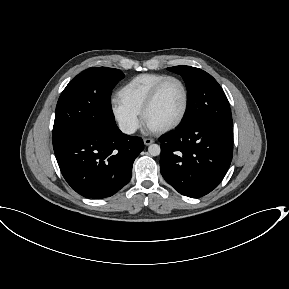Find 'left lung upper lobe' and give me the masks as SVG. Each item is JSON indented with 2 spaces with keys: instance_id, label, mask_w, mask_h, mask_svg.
I'll use <instances>...</instances> for the list:
<instances>
[{
  "instance_id": "left-lung-upper-lobe-1",
  "label": "left lung upper lobe",
  "mask_w": 289,
  "mask_h": 289,
  "mask_svg": "<svg viewBox=\"0 0 289 289\" xmlns=\"http://www.w3.org/2000/svg\"><path fill=\"white\" fill-rule=\"evenodd\" d=\"M180 74L188 89L187 109L179 127L198 121H213L233 125L227 97L218 82L207 72L190 66L169 67Z\"/></svg>"
}]
</instances>
